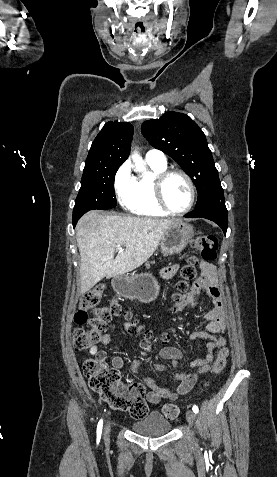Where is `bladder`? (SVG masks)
<instances>
[{
	"instance_id": "obj_1",
	"label": "bladder",
	"mask_w": 277,
	"mask_h": 477,
	"mask_svg": "<svg viewBox=\"0 0 277 477\" xmlns=\"http://www.w3.org/2000/svg\"><path fill=\"white\" fill-rule=\"evenodd\" d=\"M134 432L145 436H159L170 432L172 424L158 412H152L142 420L131 424Z\"/></svg>"
}]
</instances>
